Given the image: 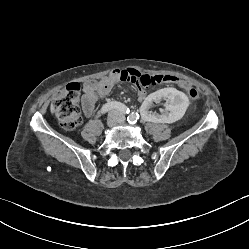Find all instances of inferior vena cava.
<instances>
[{"instance_id": "602c4592", "label": "inferior vena cava", "mask_w": 249, "mask_h": 249, "mask_svg": "<svg viewBox=\"0 0 249 249\" xmlns=\"http://www.w3.org/2000/svg\"><path fill=\"white\" fill-rule=\"evenodd\" d=\"M121 120L124 121V116L121 117Z\"/></svg>"}]
</instances>
